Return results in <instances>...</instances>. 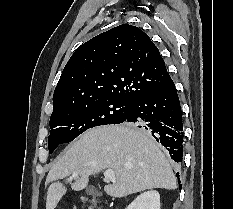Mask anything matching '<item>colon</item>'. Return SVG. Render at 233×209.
Returning a JSON list of instances; mask_svg holds the SVG:
<instances>
[{"label":"colon","instance_id":"5ec220e1","mask_svg":"<svg viewBox=\"0 0 233 209\" xmlns=\"http://www.w3.org/2000/svg\"><path fill=\"white\" fill-rule=\"evenodd\" d=\"M88 209H102V207L95 201H91L89 202Z\"/></svg>","mask_w":233,"mask_h":209}]
</instances>
